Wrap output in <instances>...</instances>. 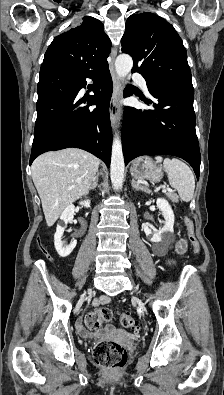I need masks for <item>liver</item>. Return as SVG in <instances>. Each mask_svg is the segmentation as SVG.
<instances>
[{
    "mask_svg": "<svg viewBox=\"0 0 224 395\" xmlns=\"http://www.w3.org/2000/svg\"><path fill=\"white\" fill-rule=\"evenodd\" d=\"M99 163L97 157L77 148L44 153L34 160L32 179L48 227L67 206L88 193Z\"/></svg>",
    "mask_w": 224,
    "mask_h": 395,
    "instance_id": "6515ba94",
    "label": "liver"
}]
</instances>
